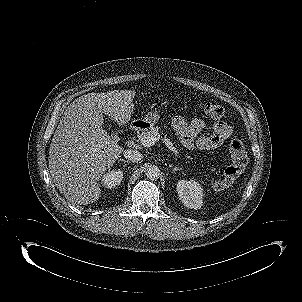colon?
<instances>
[{
	"instance_id": "5ec220e1",
	"label": "colon",
	"mask_w": 302,
	"mask_h": 302,
	"mask_svg": "<svg viewBox=\"0 0 302 302\" xmlns=\"http://www.w3.org/2000/svg\"><path fill=\"white\" fill-rule=\"evenodd\" d=\"M199 107L204 114L212 118H221L225 115V108L219 104L203 103ZM229 151L233 164L225 171V183L234 180L246 164V152L241 141L233 140L229 145ZM212 187L214 189H221L223 183L215 182L212 184Z\"/></svg>"
}]
</instances>
